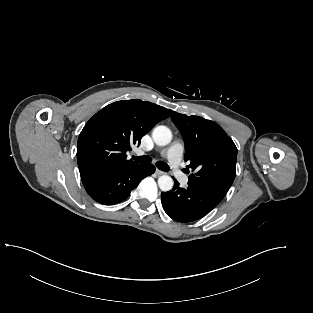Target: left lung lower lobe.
Listing matches in <instances>:
<instances>
[{"mask_svg":"<svg viewBox=\"0 0 313 313\" xmlns=\"http://www.w3.org/2000/svg\"><path fill=\"white\" fill-rule=\"evenodd\" d=\"M223 198L188 183L186 188L174 187L161 193V202L167 215L179 222H192L207 215Z\"/></svg>","mask_w":313,"mask_h":313,"instance_id":"0a47b994","label":"left lung lower lobe"}]
</instances>
